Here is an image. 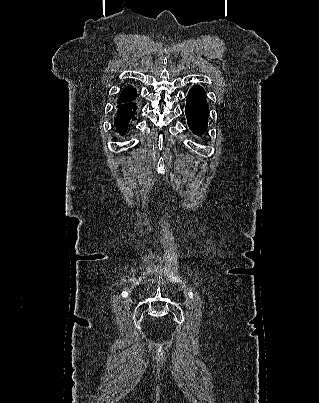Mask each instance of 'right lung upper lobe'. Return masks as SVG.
Listing matches in <instances>:
<instances>
[{"instance_id": "1", "label": "right lung upper lobe", "mask_w": 319, "mask_h": 403, "mask_svg": "<svg viewBox=\"0 0 319 403\" xmlns=\"http://www.w3.org/2000/svg\"><path fill=\"white\" fill-rule=\"evenodd\" d=\"M136 94V90L132 86H127L122 90L120 97L117 102H124L125 100L131 98Z\"/></svg>"}]
</instances>
